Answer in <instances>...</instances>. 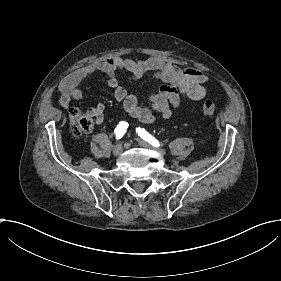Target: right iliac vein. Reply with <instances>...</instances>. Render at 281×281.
<instances>
[{"label":"right iliac vein","instance_id":"obj_1","mask_svg":"<svg viewBox=\"0 0 281 281\" xmlns=\"http://www.w3.org/2000/svg\"><path fill=\"white\" fill-rule=\"evenodd\" d=\"M122 145L120 143H117L113 149V152L116 156H119L122 152Z\"/></svg>","mask_w":281,"mask_h":281}]
</instances>
